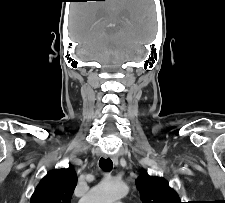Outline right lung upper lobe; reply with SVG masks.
<instances>
[{
    "label": "right lung upper lobe",
    "mask_w": 225,
    "mask_h": 203,
    "mask_svg": "<svg viewBox=\"0 0 225 203\" xmlns=\"http://www.w3.org/2000/svg\"><path fill=\"white\" fill-rule=\"evenodd\" d=\"M76 185L77 176L71 166L50 171L36 187L30 203H70Z\"/></svg>",
    "instance_id": "1"
}]
</instances>
